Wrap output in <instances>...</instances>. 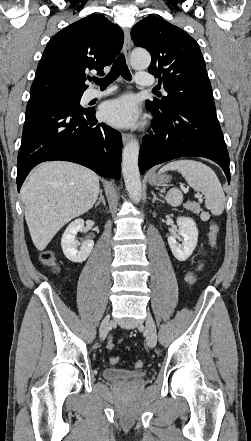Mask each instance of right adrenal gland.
Returning a JSON list of instances; mask_svg holds the SVG:
<instances>
[{"label":"right adrenal gland","mask_w":251,"mask_h":441,"mask_svg":"<svg viewBox=\"0 0 251 441\" xmlns=\"http://www.w3.org/2000/svg\"><path fill=\"white\" fill-rule=\"evenodd\" d=\"M99 194H100V197H99L97 203L95 204V207H97L101 202H102V204H103L104 206L106 205V202H105V199H104V196H103V191H102V189H100Z\"/></svg>","instance_id":"obj_1"}]
</instances>
